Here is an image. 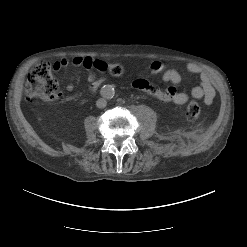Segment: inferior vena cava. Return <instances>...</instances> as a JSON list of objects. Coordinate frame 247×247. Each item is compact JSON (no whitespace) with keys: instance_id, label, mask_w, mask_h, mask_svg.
<instances>
[{"instance_id":"602c4592","label":"inferior vena cava","mask_w":247,"mask_h":247,"mask_svg":"<svg viewBox=\"0 0 247 247\" xmlns=\"http://www.w3.org/2000/svg\"><path fill=\"white\" fill-rule=\"evenodd\" d=\"M96 105L98 108H104L107 105V101L104 98H100L97 100Z\"/></svg>"}]
</instances>
